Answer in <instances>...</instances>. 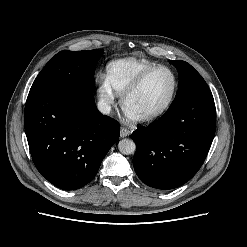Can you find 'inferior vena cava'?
Wrapping results in <instances>:
<instances>
[{
	"label": "inferior vena cava",
	"mask_w": 247,
	"mask_h": 247,
	"mask_svg": "<svg viewBox=\"0 0 247 247\" xmlns=\"http://www.w3.org/2000/svg\"><path fill=\"white\" fill-rule=\"evenodd\" d=\"M97 108L102 114L105 115L109 114L111 111V106L104 101H99L97 104Z\"/></svg>",
	"instance_id": "obj_1"
}]
</instances>
